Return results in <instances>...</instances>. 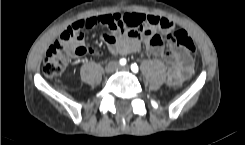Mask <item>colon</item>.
I'll return each mask as SVG.
<instances>
[{"label": "colon", "instance_id": "5ec220e1", "mask_svg": "<svg viewBox=\"0 0 245 145\" xmlns=\"http://www.w3.org/2000/svg\"><path fill=\"white\" fill-rule=\"evenodd\" d=\"M103 24V19L98 20L97 17L90 19L91 25ZM156 41L163 43L165 36L158 33L160 28L156 27ZM83 32V28L78 23L69 25L61 37L48 50L42 65L43 74L48 78H53L62 73L70 58L74 56H83L87 53V47L78 44V40ZM169 38L177 44L183 46L191 52H195L196 45L187 32L179 28H174L169 32Z\"/></svg>", "mask_w": 245, "mask_h": 145}]
</instances>
